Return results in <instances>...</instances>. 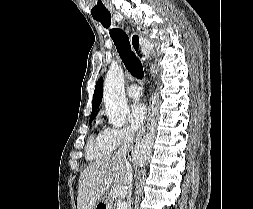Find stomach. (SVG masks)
I'll return each instance as SVG.
<instances>
[{
  "label": "stomach",
  "instance_id": "obj_1",
  "mask_svg": "<svg viewBox=\"0 0 253 209\" xmlns=\"http://www.w3.org/2000/svg\"><path fill=\"white\" fill-rule=\"evenodd\" d=\"M107 194V193H106ZM111 196H100L95 209H112Z\"/></svg>",
  "mask_w": 253,
  "mask_h": 209
}]
</instances>
